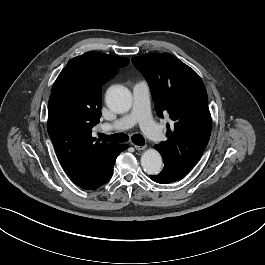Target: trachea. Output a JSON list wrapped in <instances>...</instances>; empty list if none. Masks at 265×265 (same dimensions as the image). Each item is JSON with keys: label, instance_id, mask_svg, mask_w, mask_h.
Here are the masks:
<instances>
[{"label": "trachea", "instance_id": "trachea-1", "mask_svg": "<svg viewBox=\"0 0 265 265\" xmlns=\"http://www.w3.org/2000/svg\"><path fill=\"white\" fill-rule=\"evenodd\" d=\"M98 136H99L100 140L111 141V142H116V143L125 142L129 139V137L124 133H117V134L110 135V136L99 133ZM132 141L136 145H144V143H145V139L141 134H134L132 136Z\"/></svg>", "mask_w": 265, "mask_h": 265}]
</instances>
